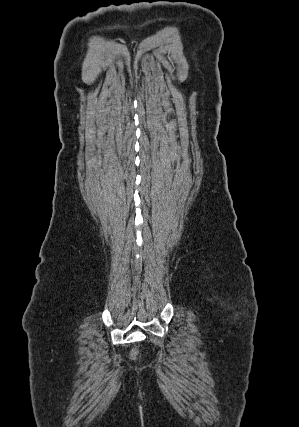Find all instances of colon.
<instances>
[{"mask_svg":"<svg viewBox=\"0 0 299 427\" xmlns=\"http://www.w3.org/2000/svg\"><path fill=\"white\" fill-rule=\"evenodd\" d=\"M136 355H137L136 350H133V351L131 352V356H132L133 358H135V357H136Z\"/></svg>","mask_w":299,"mask_h":427,"instance_id":"1","label":"colon"}]
</instances>
